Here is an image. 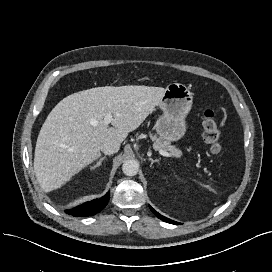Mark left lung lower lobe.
<instances>
[{"label":"left lung lower lobe","instance_id":"0a47b994","mask_svg":"<svg viewBox=\"0 0 272 272\" xmlns=\"http://www.w3.org/2000/svg\"><path fill=\"white\" fill-rule=\"evenodd\" d=\"M150 209H151V211H152L159 219H161V220H163V221H165V222L171 223V224H176V225L179 224L178 222H175V221H173V220H171V219H168V218L162 216V215L159 214L157 211H155L152 207H150Z\"/></svg>","mask_w":272,"mask_h":272}]
</instances>
